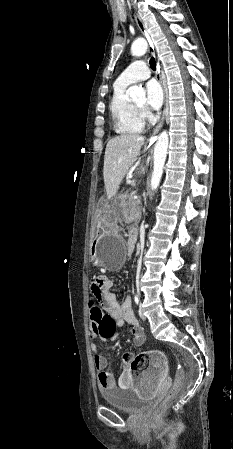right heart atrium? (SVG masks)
Returning <instances> with one entry per match:
<instances>
[{"label":"right heart atrium","instance_id":"d8ad5b80","mask_svg":"<svg viewBox=\"0 0 233 449\" xmlns=\"http://www.w3.org/2000/svg\"><path fill=\"white\" fill-rule=\"evenodd\" d=\"M142 115L146 118H150L149 113H147L146 111H142Z\"/></svg>","mask_w":233,"mask_h":449}]
</instances>
